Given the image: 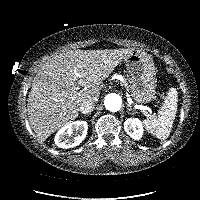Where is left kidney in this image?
Returning a JSON list of instances; mask_svg holds the SVG:
<instances>
[{
  "mask_svg": "<svg viewBox=\"0 0 200 200\" xmlns=\"http://www.w3.org/2000/svg\"><path fill=\"white\" fill-rule=\"evenodd\" d=\"M125 132L133 139L139 140L143 136L142 122L138 118H128L124 122Z\"/></svg>",
  "mask_w": 200,
  "mask_h": 200,
  "instance_id": "5707ae66",
  "label": "left kidney"
}]
</instances>
